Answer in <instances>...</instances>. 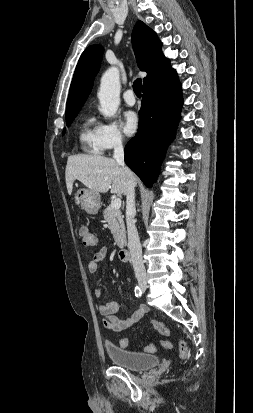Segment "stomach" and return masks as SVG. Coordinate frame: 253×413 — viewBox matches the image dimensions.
Listing matches in <instances>:
<instances>
[{"instance_id":"obj_1","label":"stomach","mask_w":253,"mask_h":413,"mask_svg":"<svg viewBox=\"0 0 253 413\" xmlns=\"http://www.w3.org/2000/svg\"><path fill=\"white\" fill-rule=\"evenodd\" d=\"M75 203L88 214H97L101 207L100 194L90 189H80L75 194Z\"/></svg>"}]
</instances>
